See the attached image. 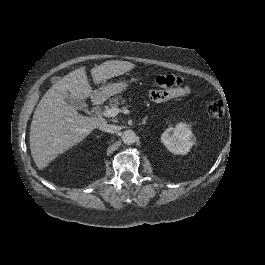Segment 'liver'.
Here are the masks:
<instances>
[{"mask_svg": "<svg viewBox=\"0 0 265 265\" xmlns=\"http://www.w3.org/2000/svg\"><path fill=\"white\" fill-rule=\"evenodd\" d=\"M135 67L128 61H106L91 69L95 84L123 75ZM85 67L75 69L52 85L38 103L30 127L29 143L31 155L42 170L59 154L80 143L91 131L106 123L104 118L78 114L67 102L68 93L78 100L90 96Z\"/></svg>", "mask_w": 265, "mask_h": 265, "instance_id": "liver-1", "label": "liver"}]
</instances>
